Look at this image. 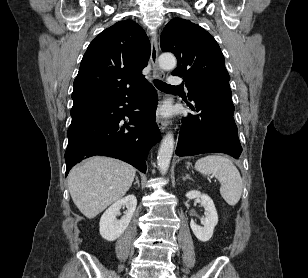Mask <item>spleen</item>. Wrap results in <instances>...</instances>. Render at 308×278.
Here are the masks:
<instances>
[{
  "mask_svg": "<svg viewBox=\"0 0 308 278\" xmlns=\"http://www.w3.org/2000/svg\"><path fill=\"white\" fill-rule=\"evenodd\" d=\"M195 169L204 175H214L221 182L220 194L231 206L238 203L242 195L243 182L233 162L220 155H208L195 163Z\"/></svg>",
  "mask_w": 308,
  "mask_h": 278,
  "instance_id": "spleen-1",
  "label": "spleen"
}]
</instances>
